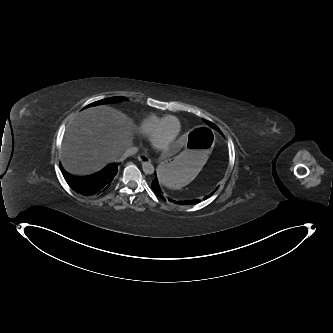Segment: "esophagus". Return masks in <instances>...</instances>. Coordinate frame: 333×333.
I'll list each match as a JSON object with an SVG mask.
<instances>
[{
    "instance_id": "obj_1",
    "label": "esophagus",
    "mask_w": 333,
    "mask_h": 333,
    "mask_svg": "<svg viewBox=\"0 0 333 333\" xmlns=\"http://www.w3.org/2000/svg\"><path fill=\"white\" fill-rule=\"evenodd\" d=\"M137 159L142 163L150 162V158L146 154H140L137 156Z\"/></svg>"
}]
</instances>
